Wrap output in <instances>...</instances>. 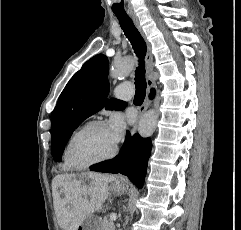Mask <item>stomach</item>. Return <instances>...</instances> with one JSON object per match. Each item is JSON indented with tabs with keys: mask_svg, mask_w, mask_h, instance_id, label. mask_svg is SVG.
Returning a JSON list of instances; mask_svg holds the SVG:
<instances>
[{
	"mask_svg": "<svg viewBox=\"0 0 241 230\" xmlns=\"http://www.w3.org/2000/svg\"><path fill=\"white\" fill-rule=\"evenodd\" d=\"M86 180L91 181V179L87 175H82L78 181L82 184ZM126 188L127 185L125 182L115 180L113 184L110 186V191L114 195L119 196L126 191ZM77 230H100V225L95 219L89 217L83 221V223L77 228Z\"/></svg>",
	"mask_w": 241,
	"mask_h": 230,
	"instance_id": "obj_1",
	"label": "stomach"
}]
</instances>
